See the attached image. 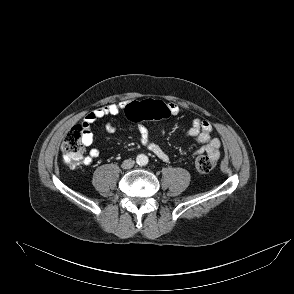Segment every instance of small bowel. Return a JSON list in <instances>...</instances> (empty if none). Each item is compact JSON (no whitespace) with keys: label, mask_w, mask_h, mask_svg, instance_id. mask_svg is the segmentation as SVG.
<instances>
[{"label":"small bowel","mask_w":294,"mask_h":294,"mask_svg":"<svg viewBox=\"0 0 294 294\" xmlns=\"http://www.w3.org/2000/svg\"><path fill=\"white\" fill-rule=\"evenodd\" d=\"M127 104V102L109 104L88 113L84 117L81 125L83 128L84 145L90 146L93 142V134L91 132L92 124L106 116L118 115L124 110ZM167 106L171 115H177L180 111L179 106L175 103H168ZM105 129L109 133H114L116 131V126L109 122L105 125ZM138 130L141 144L144 145L157 158L164 162H168L170 160L168 154L159 144L151 140L148 129L144 125H139ZM186 135L195 138L196 150L193 153L194 156L201 153H207L215 159L219 158L221 142L218 138L212 137V126L209 122L201 119H194L191 127L187 130ZM99 154L100 153L97 148H91L88 155L83 159V163L85 165L90 164L99 156Z\"/></svg>","instance_id":"small-bowel-1"}]
</instances>
